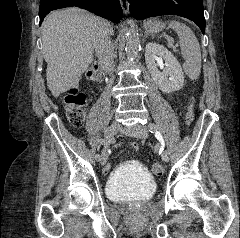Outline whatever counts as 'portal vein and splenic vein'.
<instances>
[{
  "label": "portal vein and splenic vein",
  "instance_id": "1",
  "mask_svg": "<svg viewBox=\"0 0 240 238\" xmlns=\"http://www.w3.org/2000/svg\"><path fill=\"white\" fill-rule=\"evenodd\" d=\"M168 46L171 47V48H175L173 46V40L172 39H168Z\"/></svg>",
  "mask_w": 240,
  "mask_h": 238
}]
</instances>
